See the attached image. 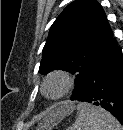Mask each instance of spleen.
I'll return each mask as SVG.
<instances>
[{
    "label": "spleen",
    "mask_w": 123,
    "mask_h": 130,
    "mask_svg": "<svg viewBox=\"0 0 123 130\" xmlns=\"http://www.w3.org/2000/svg\"><path fill=\"white\" fill-rule=\"evenodd\" d=\"M69 130H123V126L103 108L79 103L76 120Z\"/></svg>",
    "instance_id": "1"
}]
</instances>
